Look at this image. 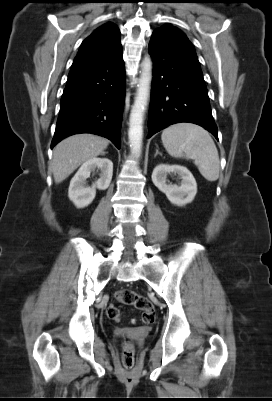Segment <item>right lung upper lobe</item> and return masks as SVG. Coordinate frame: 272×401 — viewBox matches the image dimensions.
<instances>
[{
	"label": "right lung upper lobe",
	"instance_id": "obj_1",
	"mask_svg": "<svg viewBox=\"0 0 272 401\" xmlns=\"http://www.w3.org/2000/svg\"><path fill=\"white\" fill-rule=\"evenodd\" d=\"M120 31L113 23L97 28L81 44L69 76L76 75L109 58L121 49Z\"/></svg>",
	"mask_w": 272,
	"mask_h": 401
}]
</instances>
